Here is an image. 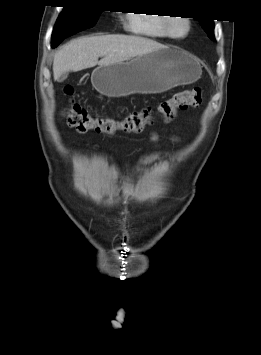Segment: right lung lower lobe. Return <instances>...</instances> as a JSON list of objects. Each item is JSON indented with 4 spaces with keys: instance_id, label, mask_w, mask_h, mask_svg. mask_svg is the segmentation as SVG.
I'll use <instances>...</instances> for the list:
<instances>
[{
    "instance_id": "obj_1",
    "label": "right lung lower lobe",
    "mask_w": 261,
    "mask_h": 355,
    "mask_svg": "<svg viewBox=\"0 0 261 355\" xmlns=\"http://www.w3.org/2000/svg\"><path fill=\"white\" fill-rule=\"evenodd\" d=\"M61 41H62V40H58V41H56V42H54V43H51V47H52V48L57 47V46L61 43Z\"/></svg>"
}]
</instances>
